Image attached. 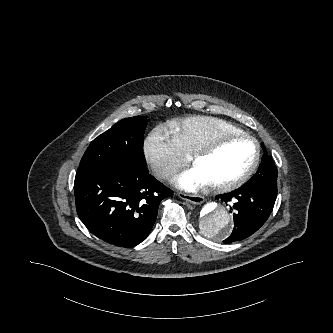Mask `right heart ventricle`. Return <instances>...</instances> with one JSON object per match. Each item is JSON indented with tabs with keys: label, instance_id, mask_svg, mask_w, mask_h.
<instances>
[{
	"label": "right heart ventricle",
	"instance_id": "1",
	"mask_svg": "<svg viewBox=\"0 0 333 333\" xmlns=\"http://www.w3.org/2000/svg\"><path fill=\"white\" fill-rule=\"evenodd\" d=\"M169 133L182 153L189 156L202 144L219 134L244 133V131L222 119L197 115L170 122Z\"/></svg>",
	"mask_w": 333,
	"mask_h": 333
}]
</instances>
